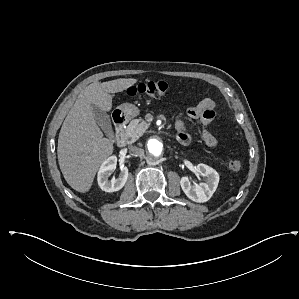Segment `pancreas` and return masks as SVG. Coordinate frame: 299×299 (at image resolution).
Returning a JSON list of instances; mask_svg holds the SVG:
<instances>
[{"mask_svg": "<svg viewBox=\"0 0 299 299\" xmlns=\"http://www.w3.org/2000/svg\"><path fill=\"white\" fill-rule=\"evenodd\" d=\"M146 129L147 124L144 120H142L141 118L134 119L129 123V125L123 132V136L128 143H133L143 135Z\"/></svg>", "mask_w": 299, "mask_h": 299, "instance_id": "pancreas-1", "label": "pancreas"}]
</instances>
